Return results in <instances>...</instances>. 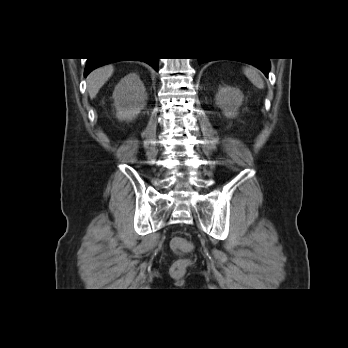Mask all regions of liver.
Instances as JSON below:
<instances>
[{
  "label": "liver",
  "instance_id": "1",
  "mask_svg": "<svg viewBox=\"0 0 348 348\" xmlns=\"http://www.w3.org/2000/svg\"><path fill=\"white\" fill-rule=\"evenodd\" d=\"M114 72L113 65H106L92 71L87 77V90L91 99L95 98L100 88Z\"/></svg>",
  "mask_w": 348,
  "mask_h": 348
}]
</instances>
